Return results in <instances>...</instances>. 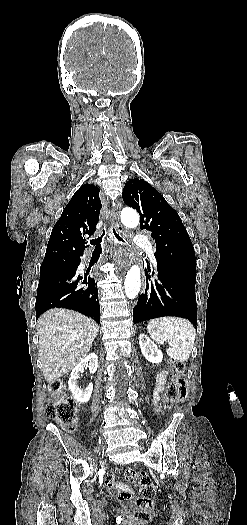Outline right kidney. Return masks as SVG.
Here are the masks:
<instances>
[{
	"mask_svg": "<svg viewBox=\"0 0 247 525\" xmlns=\"http://www.w3.org/2000/svg\"><path fill=\"white\" fill-rule=\"evenodd\" d=\"M84 367H88L90 373H96L97 367H98V357L95 355V353H90V355H87L81 363H78L74 369L71 371L70 379L68 381V387L76 401L78 403H88L91 393L93 391V385L92 383H89L88 387L86 389H81L78 385V379H80V371H84Z\"/></svg>",
	"mask_w": 247,
	"mask_h": 525,
	"instance_id": "1",
	"label": "right kidney"
}]
</instances>
